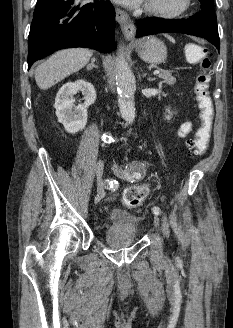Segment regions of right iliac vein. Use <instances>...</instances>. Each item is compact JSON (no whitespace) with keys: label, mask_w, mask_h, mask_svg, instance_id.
<instances>
[{"label":"right iliac vein","mask_w":233,"mask_h":328,"mask_svg":"<svg viewBox=\"0 0 233 328\" xmlns=\"http://www.w3.org/2000/svg\"><path fill=\"white\" fill-rule=\"evenodd\" d=\"M104 164L102 160H99L95 164V173L97 179V195L95 196V204L99 203L105 195L106 182L103 179Z\"/></svg>","instance_id":"obj_1"}]
</instances>
